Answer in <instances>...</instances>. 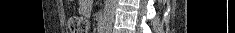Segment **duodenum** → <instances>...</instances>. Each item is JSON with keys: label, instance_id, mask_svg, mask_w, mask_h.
Here are the masks:
<instances>
[{"label": "duodenum", "instance_id": "410a0bca", "mask_svg": "<svg viewBox=\"0 0 235 33\" xmlns=\"http://www.w3.org/2000/svg\"><path fill=\"white\" fill-rule=\"evenodd\" d=\"M97 24H98V29L100 31L103 30V27H104V20H103V16L100 14L98 15V18H97Z\"/></svg>", "mask_w": 235, "mask_h": 33}]
</instances>
